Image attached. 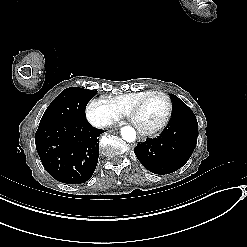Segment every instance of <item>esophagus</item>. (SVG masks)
<instances>
[{
    "mask_svg": "<svg viewBox=\"0 0 247 247\" xmlns=\"http://www.w3.org/2000/svg\"><path fill=\"white\" fill-rule=\"evenodd\" d=\"M146 138L143 136H138V141L145 142Z\"/></svg>",
    "mask_w": 247,
    "mask_h": 247,
    "instance_id": "1",
    "label": "esophagus"
}]
</instances>
